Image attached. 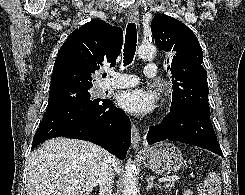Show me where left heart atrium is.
<instances>
[{
    "label": "left heart atrium",
    "instance_id": "obj_1",
    "mask_svg": "<svg viewBox=\"0 0 245 195\" xmlns=\"http://www.w3.org/2000/svg\"><path fill=\"white\" fill-rule=\"evenodd\" d=\"M117 100L123 110L138 116L148 115L156 108L154 95L141 88L124 90Z\"/></svg>",
    "mask_w": 245,
    "mask_h": 195
}]
</instances>
